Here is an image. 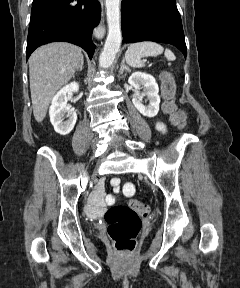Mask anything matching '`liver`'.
Masks as SVG:
<instances>
[{
    "instance_id": "6515ba94",
    "label": "liver",
    "mask_w": 240,
    "mask_h": 288,
    "mask_svg": "<svg viewBox=\"0 0 240 288\" xmlns=\"http://www.w3.org/2000/svg\"><path fill=\"white\" fill-rule=\"evenodd\" d=\"M83 62L81 49L65 42L50 43L36 49L29 58V80L35 120L42 122L49 103Z\"/></svg>"
}]
</instances>
